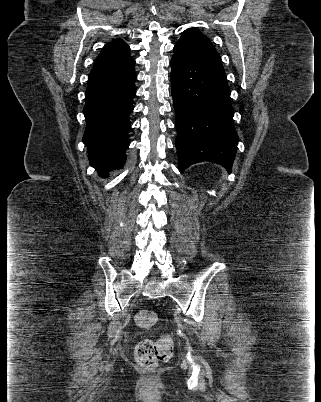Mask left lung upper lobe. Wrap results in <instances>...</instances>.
<instances>
[{
  "label": "left lung upper lobe",
  "mask_w": 321,
  "mask_h": 402,
  "mask_svg": "<svg viewBox=\"0 0 321 402\" xmlns=\"http://www.w3.org/2000/svg\"><path fill=\"white\" fill-rule=\"evenodd\" d=\"M178 42L193 43L216 51L210 40L195 28L185 30Z\"/></svg>",
  "instance_id": "left-lung-upper-lobe-1"
}]
</instances>
